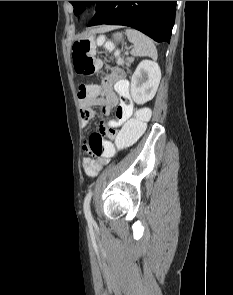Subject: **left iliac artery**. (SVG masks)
Masks as SVG:
<instances>
[{"mask_svg":"<svg viewBox=\"0 0 233 295\" xmlns=\"http://www.w3.org/2000/svg\"><path fill=\"white\" fill-rule=\"evenodd\" d=\"M91 197H92V191L89 190V192L87 193V195L84 199V204H83L84 214H85V217L88 221H92V215H91V211H90Z\"/></svg>","mask_w":233,"mask_h":295,"instance_id":"obj_1","label":"left iliac artery"}]
</instances>
